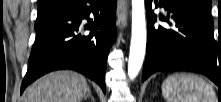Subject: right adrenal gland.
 <instances>
[{"label":"right adrenal gland","mask_w":221,"mask_h":102,"mask_svg":"<svg viewBox=\"0 0 221 102\" xmlns=\"http://www.w3.org/2000/svg\"><path fill=\"white\" fill-rule=\"evenodd\" d=\"M88 97L91 98L92 102H95L90 89H88V94L84 97V99L86 100Z\"/></svg>","instance_id":"1"}]
</instances>
